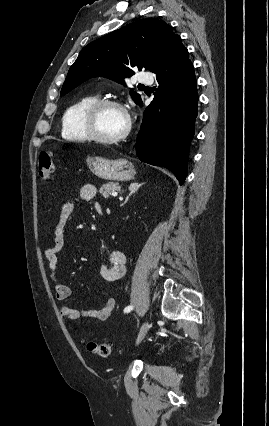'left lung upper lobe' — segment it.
<instances>
[{
  "label": "left lung upper lobe",
  "instance_id": "1",
  "mask_svg": "<svg viewBox=\"0 0 269 426\" xmlns=\"http://www.w3.org/2000/svg\"><path fill=\"white\" fill-rule=\"evenodd\" d=\"M177 37L168 24L155 18L107 34L81 50L68 71L61 95L97 76L124 84L123 78L133 75L134 67L150 71ZM130 95L136 104L142 103L138 93L130 91Z\"/></svg>",
  "mask_w": 269,
  "mask_h": 426
}]
</instances>
